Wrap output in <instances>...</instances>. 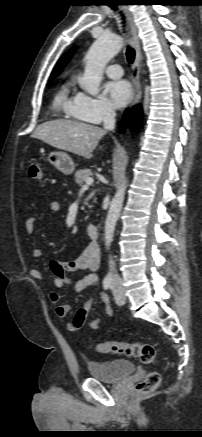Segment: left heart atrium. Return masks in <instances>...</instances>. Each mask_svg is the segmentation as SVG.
<instances>
[{"instance_id":"obj_1","label":"left heart atrium","mask_w":202,"mask_h":437,"mask_svg":"<svg viewBox=\"0 0 202 437\" xmlns=\"http://www.w3.org/2000/svg\"><path fill=\"white\" fill-rule=\"evenodd\" d=\"M106 91L117 107L125 106L132 98L133 90L126 80L111 81L106 85Z\"/></svg>"}]
</instances>
